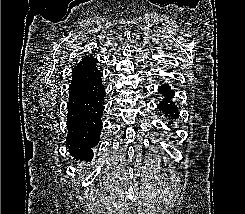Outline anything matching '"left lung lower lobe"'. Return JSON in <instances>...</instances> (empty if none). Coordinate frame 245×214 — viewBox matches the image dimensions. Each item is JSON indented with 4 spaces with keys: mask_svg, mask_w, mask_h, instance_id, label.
Returning a JSON list of instances; mask_svg holds the SVG:
<instances>
[{
    "mask_svg": "<svg viewBox=\"0 0 245 214\" xmlns=\"http://www.w3.org/2000/svg\"><path fill=\"white\" fill-rule=\"evenodd\" d=\"M160 93L164 96V99L160 101L157 107L162 110L169 118H178V110L171 98L174 96V91H171L169 85L164 84L158 89ZM170 124V123H169Z\"/></svg>",
    "mask_w": 245,
    "mask_h": 214,
    "instance_id": "left-lung-lower-lobe-1",
    "label": "left lung lower lobe"
}]
</instances>
